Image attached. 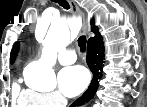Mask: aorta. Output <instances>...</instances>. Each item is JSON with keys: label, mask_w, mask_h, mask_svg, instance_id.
Masks as SVG:
<instances>
[{"label": "aorta", "mask_w": 147, "mask_h": 107, "mask_svg": "<svg viewBox=\"0 0 147 107\" xmlns=\"http://www.w3.org/2000/svg\"><path fill=\"white\" fill-rule=\"evenodd\" d=\"M71 41V33L66 23L53 21L43 40V50L38 61L28 65L34 81L33 85L43 90H52L56 86L53 66L56 64L57 54L61 48L66 47Z\"/></svg>", "instance_id": "aorta-1"}]
</instances>
